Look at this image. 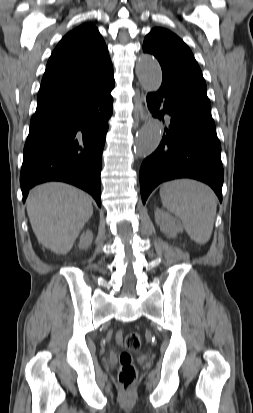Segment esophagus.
<instances>
[{
  "instance_id": "esophagus-1",
  "label": "esophagus",
  "mask_w": 253,
  "mask_h": 413,
  "mask_svg": "<svg viewBox=\"0 0 253 413\" xmlns=\"http://www.w3.org/2000/svg\"><path fill=\"white\" fill-rule=\"evenodd\" d=\"M136 111L141 121H145L149 117V110L147 107L146 96L144 93L141 94L136 104Z\"/></svg>"
}]
</instances>
